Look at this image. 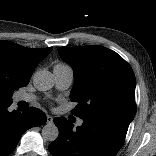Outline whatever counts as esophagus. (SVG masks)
I'll list each match as a JSON object with an SVG mask.
<instances>
[{"label":"esophagus","mask_w":156,"mask_h":156,"mask_svg":"<svg viewBox=\"0 0 156 156\" xmlns=\"http://www.w3.org/2000/svg\"><path fill=\"white\" fill-rule=\"evenodd\" d=\"M46 119L48 124H51L53 122V117L50 115H47Z\"/></svg>","instance_id":"obj_1"}]
</instances>
